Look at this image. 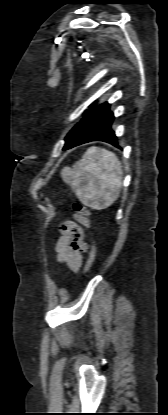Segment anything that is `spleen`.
I'll list each match as a JSON object with an SVG mask.
<instances>
[{
    "instance_id": "obj_1",
    "label": "spleen",
    "mask_w": 168,
    "mask_h": 415,
    "mask_svg": "<svg viewBox=\"0 0 168 415\" xmlns=\"http://www.w3.org/2000/svg\"><path fill=\"white\" fill-rule=\"evenodd\" d=\"M122 175L117 156L98 147H90L72 168L65 167L61 172L78 199L92 208H106L118 199Z\"/></svg>"
}]
</instances>
